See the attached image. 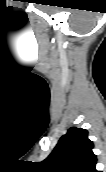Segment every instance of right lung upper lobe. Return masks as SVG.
<instances>
[{
  "mask_svg": "<svg viewBox=\"0 0 106 172\" xmlns=\"http://www.w3.org/2000/svg\"><path fill=\"white\" fill-rule=\"evenodd\" d=\"M88 131L71 127L52 153L41 162L45 172H97V158Z\"/></svg>",
  "mask_w": 106,
  "mask_h": 172,
  "instance_id": "obj_1",
  "label": "right lung upper lobe"
}]
</instances>
